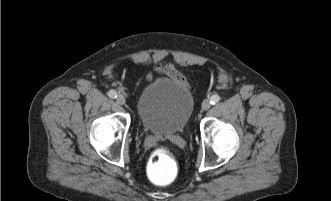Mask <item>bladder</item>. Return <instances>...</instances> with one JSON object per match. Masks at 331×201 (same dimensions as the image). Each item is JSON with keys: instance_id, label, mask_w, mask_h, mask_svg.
Masks as SVG:
<instances>
[{"instance_id": "obj_1", "label": "bladder", "mask_w": 331, "mask_h": 201, "mask_svg": "<svg viewBox=\"0 0 331 201\" xmlns=\"http://www.w3.org/2000/svg\"><path fill=\"white\" fill-rule=\"evenodd\" d=\"M194 111L191 88L168 77L150 82L140 93L137 113L141 126L154 135L181 132Z\"/></svg>"}]
</instances>
